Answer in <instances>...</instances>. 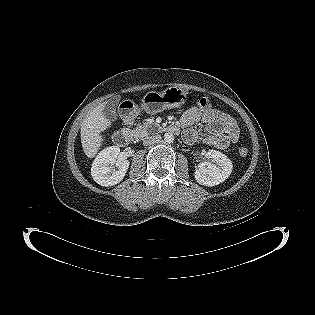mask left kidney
<instances>
[{"label": "left kidney", "instance_id": "5707ae66", "mask_svg": "<svg viewBox=\"0 0 315 315\" xmlns=\"http://www.w3.org/2000/svg\"><path fill=\"white\" fill-rule=\"evenodd\" d=\"M207 156L214 160L203 162L198 165L194 176L196 181L204 186L212 187L224 182L231 174L233 165L231 160L223 153L216 150H209Z\"/></svg>", "mask_w": 315, "mask_h": 315}]
</instances>
